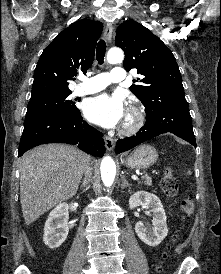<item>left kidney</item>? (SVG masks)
I'll return each mask as SVG.
<instances>
[{
	"label": "left kidney",
	"instance_id": "5707ae66",
	"mask_svg": "<svg viewBox=\"0 0 221 274\" xmlns=\"http://www.w3.org/2000/svg\"><path fill=\"white\" fill-rule=\"evenodd\" d=\"M138 206L150 209L153 216V228L152 230H148L144 223L139 221L135 224V232L145 244L151 247L158 246L168 233L163 205L156 195L145 191H138L131 195L129 207L130 209H134Z\"/></svg>",
	"mask_w": 221,
	"mask_h": 274
}]
</instances>
